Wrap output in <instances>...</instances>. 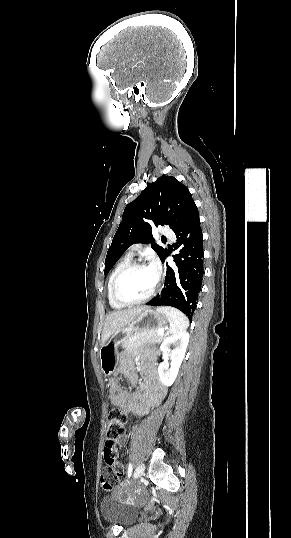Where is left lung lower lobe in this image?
I'll return each instance as SVG.
<instances>
[{
	"label": "left lung lower lobe",
	"mask_w": 291,
	"mask_h": 538,
	"mask_svg": "<svg viewBox=\"0 0 291 538\" xmlns=\"http://www.w3.org/2000/svg\"><path fill=\"white\" fill-rule=\"evenodd\" d=\"M180 253L173 256L176 267H167L165 283L160 293L147 305L172 306L185 313L189 319L196 309L201 291L203 269V239L198 209L195 208L174 230ZM169 255L167 251L162 262Z\"/></svg>",
	"instance_id": "1"
}]
</instances>
